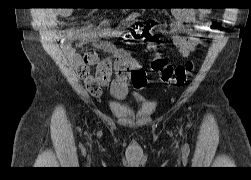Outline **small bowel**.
<instances>
[{
	"label": "small bowel",
	"instance_id": "obj_1",
	"mask_svg": "<svg viewBox=\"0 0 251 180\" xmlns=\"http://www.w3.org/2000/svg\"><path fill=\"white\" fill-rule=\"evenodd\" d=\"M71 13L68 8L51 10L47 12L48 24L55 27L60 17H67ZM174 20L168 32L172 34V42L181 57H188L202 43L198 31L208 29L207 20L210 11L206 8L191 10L175 8ZM139 17V13H130L116 28L109 26L108 22H101L99 27L82 26L60 31V43L65 53L77 64L78 73L88 91L98 96L101 89L110 86L111 94L116 99H123L130 85L136 89H143L147 84L144 69L122 48L117 47L111 40L120 37L125 27ZM192 24L194 29L186 27ZM186 34L185 36L181 35ZM77 45L92 44L106 52L110 58L100 59L95 51H87L81 58L73 47Z\"/></svg>",
	"mask_w": 251,
	"mask_h": 180
}]
</instances>
